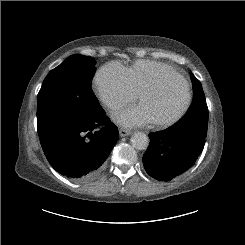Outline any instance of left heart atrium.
<instances>
[{
	"instance_id": "1",
	"label": "left heart atrium",
	"mask_w": 245,
	"mask_h": 245,
	"mask_svg": "<svg viewBox=\"0 0 245 245\" xmlns=\"http://www.w3.org/2000/svg\"><path fill=\"white\" fill-rule=\"evenodd\" d=\"M113 120L115 123L125 128L142 127L153 123L149 112L141 103L129 106L128 108L115 113L113 115Z\"/></svg>"
}]
</instances>
